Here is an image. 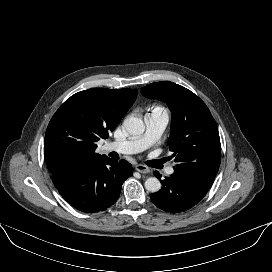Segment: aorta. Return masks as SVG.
I'll use <instances>...</instances> for the list:
<instances>
[{"label":"aorta","mask_w":272,"mask_h":272,"mask_svg":"<svg viewBox=\"0 0 272 272\" xmlns=\"http://www.w3.org/2000/svg\"><path fill=\"white\" fill-rule=\"evenodd\" d=\"M123 126L130 135H140L145 131V124L142 119L137 117H127ZM145 188L154 193L161 189V183L156 177H150L145 181Z\"/></svg>","instance_id":"762f6f07"}]
</instances>
